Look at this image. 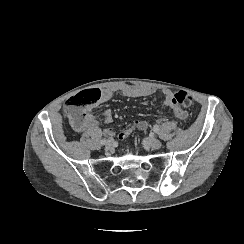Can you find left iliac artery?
<instances>
[{
  "mask_svg": "<svg viewBox=\"0 0 244 244\" xmlns=\"http://www.w3.org/2000/svg\"><path fill=\"white\" fill-rule=\"evenodd\" d=\"M154 132L158 134L159 132V126L158 125H155L154 128H153Z\"/></svg>",
  "mask_w": 244,
  "mask_h": 244,
  "instance_id": "obj_1",
  "label": "left iliac artery"
}]
</instances>
